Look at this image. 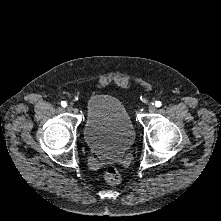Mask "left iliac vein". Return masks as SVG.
<instances>
[{"label": "left iliac vein", "mask_w": 221, "mask_h": 221, "mask_svg": "<svg viewBox=\"0 0 221 221\" xmlns=\"http://www.w3.org/2000/svg\"><path fill=\"white\" fill-rule=\"evenodd\" d=\"M148 110H149V112H151V113L155 112V111H156L155 105H151Z\"/></svg>", "instance_id": "obj_1"}]
</instances>
